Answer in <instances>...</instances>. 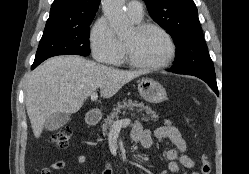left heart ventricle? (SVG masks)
<instances>
[{"label":"left heart ventricle","instance_id":"left-heart-ventricle-1","mask_svg":"<svg viewBox=\"0 0 249 174\" xmlns=\"http://www.w3.org/2000/svg\"><path fill=\"white\" fill-rule=\"evenodd\" d=\"M128 52L138 61L157 64L165 61L171 48L166 37L157 30L138 33L134 28L123 40Z\"/></svg>","mask_w":249,"mask_h":174}]
</instances>
